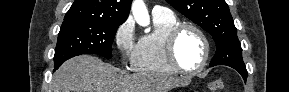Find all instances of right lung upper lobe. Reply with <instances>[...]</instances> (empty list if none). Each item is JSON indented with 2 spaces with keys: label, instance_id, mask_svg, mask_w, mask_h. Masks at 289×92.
Segmentation results:
<instances>
[{
  "label": "right lung upper lobe",
  "instance_id": "cb5924a9",
  "mask_svg": "<svg viewBox=\"0 0 289 92\" xmlns=\"http://www.w3.org/2000/svg\"><path fill=\"white\" fill-rule=\"evenodd\" d=\"M132 0H75L64 21L125 22Z\"/></svg>",
  "mask_w": 289,
  "mask_h": 92
}]
</instances>
